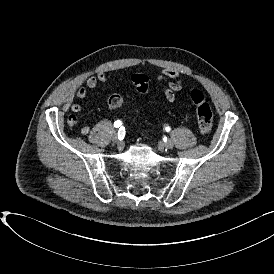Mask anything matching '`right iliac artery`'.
<instances>
[{"label": "right iliac artery", "instance_id": "1", "mask_svg": "<svg viewBox=\"0 0 274 274\" xmlns=\"http://www.w3.org/2000/svg\"><path fill=\"white\" fill-rule=\"evenodd\" d=\"M121 125H122V123H121L120 120H117V121L114 122V127H116V128L120 127V129L118 131V139L119 140H122L125 136V128L121 127Z\"/></svg>", "mask_w": 274, "mask_h": 274}]
</instances>
